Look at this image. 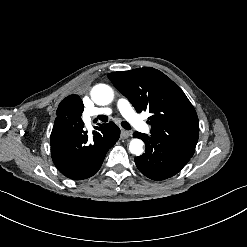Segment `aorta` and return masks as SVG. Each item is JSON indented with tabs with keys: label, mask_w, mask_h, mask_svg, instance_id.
Instances as JSON below:
<instances>
[{
	"label": "aorta",
	"mask_w": 247,
	"mask_h": 247,
	"mask_svg": "<svg viewBox=\"0 0 247 247\" xmlns=\"http://www.w3.org/2000/svg\"><path fill=\"white\" fill-rule=\"evenodd\" d=\"M114 97L113 90L110 86L106 84H98L93 87L91 91L92 100L98 105H108L112 102ZM143 141L137 138H134L129 143L130 153L140 156L143 153Z\"/></svg>",
	"instance_id": "762f6f07"
}]
</instances>
